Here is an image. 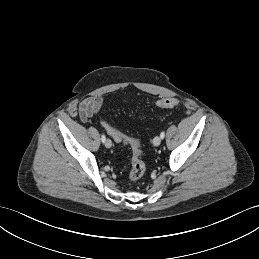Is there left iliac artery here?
<instances>
[{
	"label": "left iliac artery",
	"mask_w": 259,
	"mask_h": 259,
	"mask_svg": "<svg viewBox=\"0 0 259 259\" xmlns=\"http://www.w3.org/2000/svg\"><path fill=\"white\" fill-rule=\"evenodd\" d=\"M160 137H161L162 139L165 137V132H164V131L161 132Z\"/></svg>",
	"instance_id": "1"
}]
</instances>
